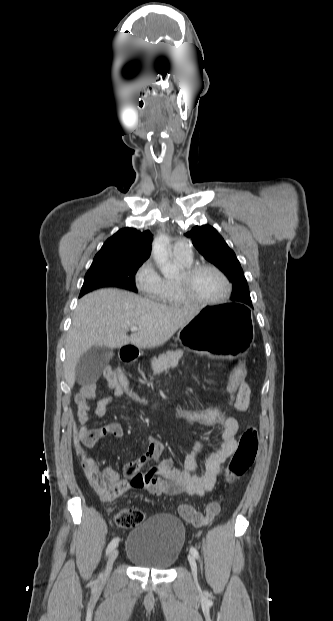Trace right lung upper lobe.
I'll use <instances>...</instances> for the list:
<instances>
[{"label":"right lung upper lobe","instance_id":"right-lung-upper-lobe-1","mask_svg":"<svg viewBox=\"0 0 333 621\" xmlns=\"http://www.w3.org/2000/svg\"><path fill=\"white\" fill-rule=\"evenodd\" d=\"M153 236L149 230L140 232L134 228H123L106 240L93 262L101 261H146L151 252Z\"/></svg>","mask_w":333,"mask_h":621}]
</instances>
